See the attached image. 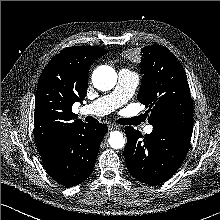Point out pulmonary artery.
<instances>
[{"label":"pulmonary artery","mask_w":220,"mask_h":220,"mask_svg":"<svg viewBox=\"0 0 220 220\" xmlns=\"http://www.w3.org/2000/svg\"><path fill=\"white\" fill-rule=\"evenodd\" d=\"M139 83V77L136 73L122 69L118 72V81L114 90L99 97L97 100L82 107L83 114L93 116H104L115 111L133 96ZM153 127L147 125L144 128L145 133H151Z\"/></svg>","instance_id":"e3ab8cb5"}]
</instances>
